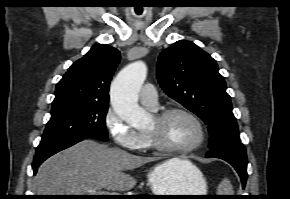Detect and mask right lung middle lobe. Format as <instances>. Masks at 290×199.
<instances>
[{"label":"right lung middle lobe","mask_w":290,"mask_h":199,"mask_svg":"<svg viewBox=\"0 0 290 199\" xmlns=\"http://www.w3.org/2000/svg\"><path fill=\"white\" fill-rule=\"evenodd\" d=\"M108 104L74 103L52 108L39 146L70 142L86 137L107 141L105 117Z\"/></svg>","instance_id":"1"}]
</instances>
